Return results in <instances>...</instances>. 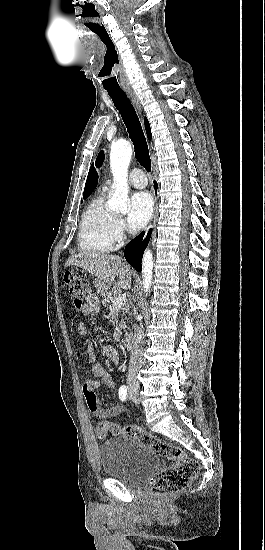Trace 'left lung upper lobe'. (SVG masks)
Instances as JSON below:
<instances>
[{"mask_svg":"<svg viewBox=\"0 0 265 550\" xmlns=\"http://www.w3.org/2000/svg\"><path fill=\"white\" fill-rule=\"evenodd\" d=\"M103 159H104V152L101 151L99 154H98V157L96 159V165L97 167H100L102 162H103Z\"/></svg>","mask_w":265,"mask_h":550,"instance_id":"1","label":"left lung upper lobe"}]
</instances>
